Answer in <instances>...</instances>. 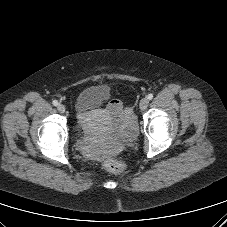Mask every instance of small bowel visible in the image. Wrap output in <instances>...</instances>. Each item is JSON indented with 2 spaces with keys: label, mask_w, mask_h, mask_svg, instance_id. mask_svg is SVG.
Instances as JSON below:
<instances>
[{
  "label": "small bowel",
  "mask_w": 227,
  "mask_h": 227,
  "mask_svg": "<svg viewBox=\"0 0 227 227\" xmlns=\"http://www.w3.org/2000/svg\"><path fill=\"white\" fill-rule=\"evenodd\" d=\"M104 110L105 116L113 125L118 127L123 124L125 126L119 128L117 133L127 134L134 130L135 119L133 112L129 107H125L121 101L117 99L111 100L106 104ZM82 148L86 156L96 161H102L107 155H112L115 152L114 149L103 150L98 138L83 141Z\"/></svg>",
  "instance_id": "c3829d8e"
}]
</instances>
